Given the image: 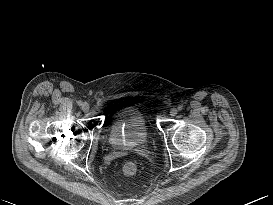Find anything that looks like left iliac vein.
<instances>
[{"mask_svg": "<svg viewBox=\"0 0 273 205\" xmlns=\"http://www.w3.org/2000/svg\"><path fill=\"white\" fill-rule=\"evenodd\" d=\"M177 113H178V110H177L176 108H172V109L170 110V115H171V116H176Z\"/></svg>", "mask_w": 273, "mask_h": 205, "instance_id": "left-iliac-vein-1", "label": "left iliac vein"}]
</instances>
